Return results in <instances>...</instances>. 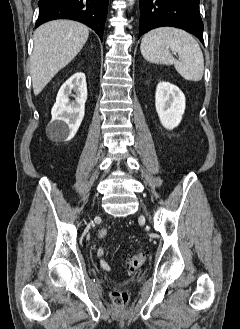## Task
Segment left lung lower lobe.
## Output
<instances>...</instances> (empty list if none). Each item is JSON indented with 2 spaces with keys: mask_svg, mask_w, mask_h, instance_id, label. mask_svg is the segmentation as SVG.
<instances>
[{
  "mask_svg": "<svg viewBox=\"0 0 240 329\" xmlns=\"http://www.w3.org/2000/svg\"><path fill=\"white\" fill-rule=\"evenodd\" d=\"M163 26L186 30L204 43L199 0H140L139 37Z\"/></svg>",
  "mask_w": 240,
  "mask_h": 329,
  "instance_id": "left-lung-lower-lobe-1",
  "label": "left lung lower lobe"
}]
</instances>
